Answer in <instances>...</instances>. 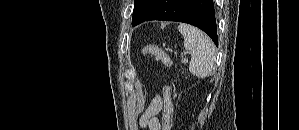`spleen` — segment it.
I'll list each match as a JSON object with an SVG mask.
<instances>
[{
    "mask_svg": "<svg viewBox=\"0 0 299 130\" xmlns=\"http://www.w3.org/2000/svg\"><path fill=\"white\" fill-rule=\"evenodd\" d=\"M179 32L184 37V47L191 53L189 71L197 78L212 74L215 50L212 40L201 30L188 24H179Z\"/></svg>",
    "mask_w": 299,
    "mask_h": 130,
    "instance_id": "obj_1",
    "label": "spleen"
}]
</instances>
